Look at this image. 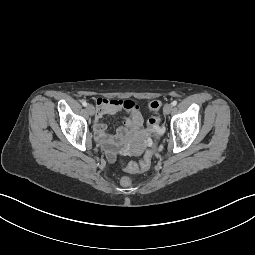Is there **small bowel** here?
I'll return each instance as SVG.
<instances>
[{"label": "small bowel", "mask_w": 255, "mask_h": 255, "mask_svg": "<svg viewBox=\"0 0 255 255\" xmlns=\"http://www.w3.org/2000/svg\"><path fill=\"white\" fill-rule=\"evenodd\" d=\"M96 114L94 119V132L98 142L106 149L111 159L114 158L115 149L122 144L125 138L131 135L142 134L143 116L139 105L132 100L96 99ZM125 112L126 117L116 132L111 135L107 126L102 122L106 114Z\"/></svg>", "instance_id": "obj_1"}]
</instances>
